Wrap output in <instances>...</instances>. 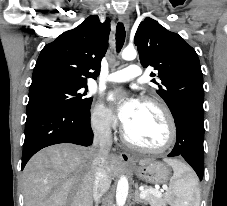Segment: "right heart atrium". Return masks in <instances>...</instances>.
I'll list each match as a JSON object with an SVG mask.
<instances>
[{"mask_svg": "<svg viewBox=\"0 0 227 206\" xmlns=\"http://www.w3.org/2000/svg\"><path fill=\"white\" fill-rule=\"evenodd\" d=\"M93 127L102 133L110 132L116 125V119L112 111L102 102H97L91 111Z\"/></svg>", "mask_w": 227, "mask_h": 206, "instance_id": "obj_1", "label": "right heart atrium"}]
</instances>
